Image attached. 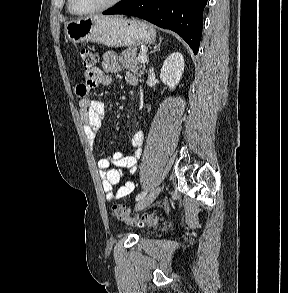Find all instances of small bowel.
<instances>
[{"label": "small bowel", "mask_w": 288, "mask_h": 293, "mask_svg": "<svg viewBox=\"0 0 288 293\" xmlns=\"http://www.w3.org/2000/svg\"><path fill=\"white\" fill-rule=\"evenodd\" d=\"M121 67L117 55L114 52H106L103 55L101 68L84 74V81L76 86V94L80 98L79 112L83 123V129L88 142L93 145L105 119V104L102 101L92 99L90 92L95 87H106L111 84L110 73H119ZM125 80L131 85L137 83V78L130 72H126ZM144 134L141 131L134 133L131 139L133 152L125 155L116 151L108 157L98 161L102 188L108 201H115L126 197L133 192L135 185L133 177L136 173L137 162L142 155ZM125 178L124 181H121ZM117 186L116 192L113 191Z\"/></svg>", "instance_id": "small-bowel-1"}]
</instances>
